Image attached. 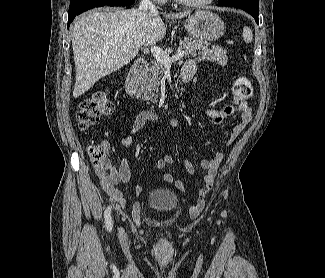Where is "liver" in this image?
<instances>
[{
	"label": "liver",
	"instance_id": "6515ba94",
	"mask_svg": "<svg viewBox=\"0 0 325 278\" xmlns=\"http://www.w3.org/2000/svg\"><path fill=\"white\" fill-rule=\"evenodd\" d=\"M188 14H167L166 18L180 19ZM165 34L158 12L103 8L80 16L72 30L76 68L73 97L83 95L99 79L130 63L142 45H152Z\"/></svg>",
	"mask_w": 325,
	"mask_h": 278
}]
</instances>
